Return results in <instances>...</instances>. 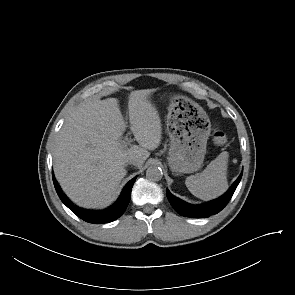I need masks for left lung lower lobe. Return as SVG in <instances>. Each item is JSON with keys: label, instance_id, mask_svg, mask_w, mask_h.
Here are the masks:
<instances>
[{"label": "left lung lower lobe", "instance_id": "obj_1", "mask_svg": "<svg viewBox=\"0 0 295 295\" xmlns=\"http://www.w3.org/2000/svg\"><path fill=\"white\" fill-rule=\"evenodd\" d=\"M243 172L240 174L238 179L230 187V189L218 199H215L211 202L201 204V205H192L184 202L183 200L172 195L169 190H167V198L172 205V207L182 216L191 217V218H207L211 215L217 214L220 212L229 202L232 195L234 194Z\"/></svg>", "mask_w": 295, "mask_h": 295}]
</instances>
